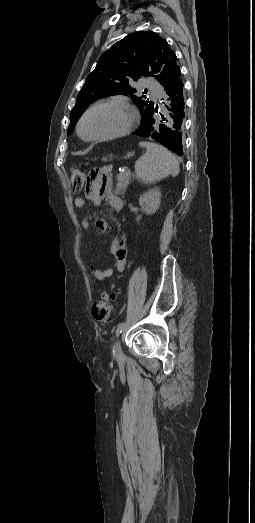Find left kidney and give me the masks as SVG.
<instances>
[{
	"mask_svg": "<svg viewBox=\"0 0 255 523\" xmlns=\"http://www.w3.org/2000/svg\"><path fill=\"white\" fill-rule=\"evenodd\" d=\"M160 198L161 192L158 188H153V190H148V192L142 194L139 198L142 212H145V214H154V212H157L160 206Z\"/></svg>",
	"mask_w": 255,
	"mask_h": 523,
	"instance_id": "obj_1",
	"label": "left kidney"
}]
</instances>
